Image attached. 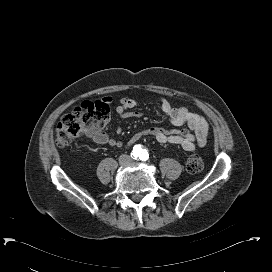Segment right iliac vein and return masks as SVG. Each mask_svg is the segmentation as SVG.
I'll return each mask as SVG.
<instances>
[{"mask_svg": "<svg viewBox=\"0 0 272 272\" xmlns=\"http://www.w3.org/2000/svg\"><path fill=\"white\" fill-rule=\"evenodd\" d=\"M121 163H122V164H125V163H126V160H125V159H122V160H121Z\"/></svg>", "mask_w": 272, "mask_h": 272, "instance_id": "right-iliac-vein-1", "label": "right iliac vein"}]
</instances>
